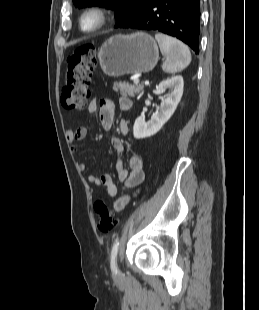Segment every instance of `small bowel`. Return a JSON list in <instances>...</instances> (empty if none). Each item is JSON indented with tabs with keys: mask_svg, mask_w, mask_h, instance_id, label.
I'll list each match as a JSON object with an SVG mask.
<instances>
[{
	"mask_svg": "<svg viewBox=\"0 0 259 310\" xmlns=\"http://www.w3.org/2000/svg\"><path fill=\"white\" fill-rule=\"evenodd\" d=\"M119 106L122 110H128L131 108V101L126 97H121L119 99ZM90 114L99 112V119L102 127L106 131H110L113 128L115 122V113L116 105L115 103L107 98L97 100L96 98L92 99L87 108ZM118 130L126 135L128 134L129 128L125 121L121 120L118 123ZM87 135V127L81 125L75 129H68L66 131V139L69 143H74L77 141L83 140ZM111 145L117 154V163H116V172L117 178L120 182L124 184L126 189H139L145 179V172L142 159L133 155L128 160V167H126L121 159L123 152V143L121 139L113 135L111 138ZM72 152L77 151V147L72 146ZM78 169L84 171L86 169V164L84 162L78 163ZM87 182L94 184L96 186H104L107 190V193L111 197H117L118 188L113 181V178L108 173H101L99 175L89 174L87 176ZM131 197L129 195H123L118 197L113 204V208L116 212L123 211L128 203L130 202Z\"/></svg>",
	"mask_w": 259,
	"mask_h": 310,
	"instance_id": "c3829d8e",
	"label": "small bowel"
}]
</instances>
